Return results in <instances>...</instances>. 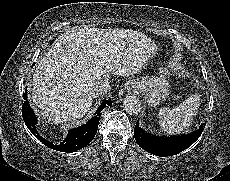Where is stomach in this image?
Here are the masks:
<instances>
[{
  "mask_svg": "<svg viewBox=\"0 0 230 181\" xmlns=\"http://www.w3.org/2000/svg\"><path fill=\"white\" fill-rule=\"evenodd\" d=\"M141 90L146 93L148 103L156 106L169 94V83L165 75H157L141 81Z\"/></svg>",
  "mask_w": 230,
  "mask_h": 181,
  "instance_id": "stomach-1",
  "label": "stomach"
}]
</instances>
